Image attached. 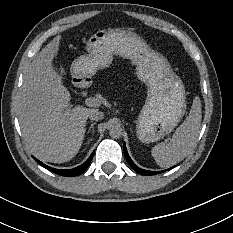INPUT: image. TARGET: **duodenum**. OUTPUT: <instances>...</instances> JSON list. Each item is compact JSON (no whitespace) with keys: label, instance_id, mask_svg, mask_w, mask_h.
I'll list each match as a JSON object with an SVG mask.
<instances>
[{"label":"duodenum","instance_id":"1","mask_svg":"<svg viewBox=\"0 0 233 233\" xmlns=\"http://www.w3.org/2000/svg\"><path fill=\"white\" fill-rule=\"evenodd\" d=\"M76 84H77L78 87L83 88V89L87 88L89 86V82L85 78H79V79H77L76 80Z\"/></svg>","mask_w":233,"mask_h":233}]
</instances>
